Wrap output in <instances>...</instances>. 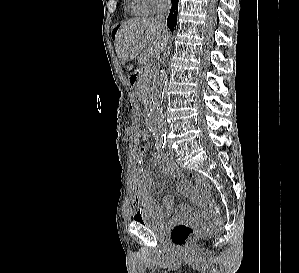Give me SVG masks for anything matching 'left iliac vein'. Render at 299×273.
<instances>
[{
    "mask_svg": "<svg viewBox=\"0 0 299 273\" xmlns=\"http://www.w3.org/2000/svg\"><path fill=\"white\" fill-rule=\"evenodd\" d=\"M167 147H168V149H169V153H172V154H173L174 151L170 148V146L168 145Z\"/></svg>",
    "mask_w": 299,
    "mask_h": 273,
    "instance_id": "obj_1",
    "label": "left iliac vein"
}]
</instances>
